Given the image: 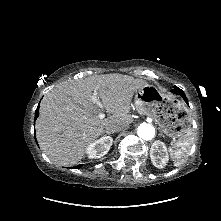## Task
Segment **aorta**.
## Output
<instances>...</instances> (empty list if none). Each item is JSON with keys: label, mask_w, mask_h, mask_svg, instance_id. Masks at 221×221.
Returning a JSON list of instances; mask_svg holds the SVG:
<instances>
[{"label": "aorta", "mask_w": 221, "mask_h": 221, "mask_svg": "<svg viewBox=\"0 0 221 221\" xmlns=\"http://www.w3.org/2000/svg\"><path fill=\"white\" fill-rule=\"evenodd\" d=\"M137 133L143 140H151L155 135V129L151 124L142 123L139 125Z\"/></svg>", "instance_id": "1"}]
</instances>
